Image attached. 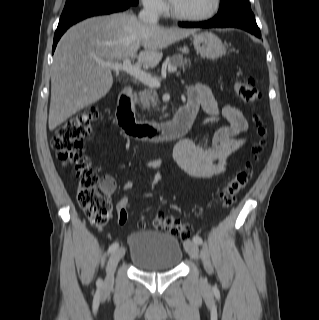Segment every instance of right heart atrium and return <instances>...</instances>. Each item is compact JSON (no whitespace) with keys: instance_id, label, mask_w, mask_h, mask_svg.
<instances>
[{"instance_id":"right-heart-atrium-1","label":"right heart atrium","mask_w":319,"mask_h":320,"mask_svg":"<svg viewBox=\"0 0 319 320\" xmlns=\"http://www.w3.org/2000/svg\"><path fill=\"white\" fill-rule=\"evenodd\" d=\"M144 8L153 14L163 15L167 11L165 0H141Z\"/></svg>"}]
</instances>
